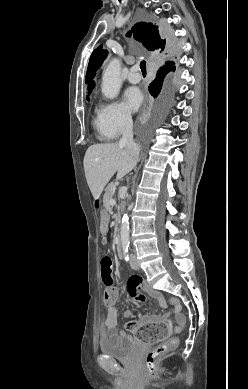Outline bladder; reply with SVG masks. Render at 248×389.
I'll return each mask as SVG.
<instances>
[{
    "label": "bladder",
    "mask_w": 248,
    "mask_h": 389,
    "mask_svg": "<svg viewBox=\"0 0 248 389\" xmlns=\"http://www.w3.org/2000/svg\"><path fill=\"white\" fill-rule=\"evenodd\" d=\"M137 349L135 342L119 333L103 336L99 340L100 352L117 359H131Z\"/></svg>",
    "instance_id": "1"
}]
</instances>
